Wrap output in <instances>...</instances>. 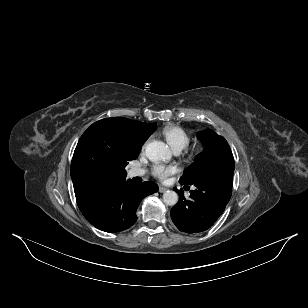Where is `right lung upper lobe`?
Returning <instances> with one entry per match:
<instances>
[{
  "label": "right lung upper lobe",
  "instance_id": "obj_1",
  "mask_svg": "<svg viewBox=\"0 0 308 308\" xmlns=\"http://www.w3.org/2000/svg\"><path fill=\"white\" fill-rule=\"evenodd\" d=\"M156 128V123L127 118H105L93 123L79 139L71 162L77 202L125 180V167L137 158Z\"/></svg>",
  "mask_w": 308,
  "mask_h": 308
}]
</instances>
